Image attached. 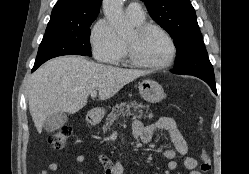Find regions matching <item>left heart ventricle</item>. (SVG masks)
<instances>
[{"mask_svg":"<svg viewBox=\"0 0 249 174\" xmlns=\"http://www.w3.org/2000/svg\"><path fill=\"white\" fill-rule=\"evenodd\" d=\"M126 40L133 41L134 33L127 36ZM135 53L144 62L160 64L170 58L172 48L163 34L158 31H150L135 42Z\"/></svg>","mask_w":249,"mask_h":174,"instance_id":"left-heart-ventricle-1","label":"left heart ventricle"}]
</instances>
